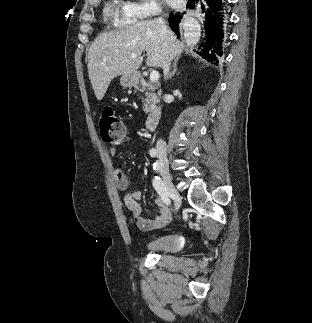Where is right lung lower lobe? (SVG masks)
I'll return each instance as SVG.
<instances>
[{
    "label": "right lung lower lobe",
    "mask_w": 312,
    "mask_h": 323,
    "mask_svg": "<svg viewBox=\"0 0 312 323\" xmlns=\"http://www.w3.org/2000/svg\"><path fill=\"white\" fill-rule=\"evenodd\" d=\"M226 0H190L187 8L193 10L200 19L201 43L198 54L213 62L222 56V47L228 25V6ZM171 29L178 35L189 24L186 12H173L169 15Z\"/></svg>",
    "instance_id": "98d812e1"
}]
</instances>
